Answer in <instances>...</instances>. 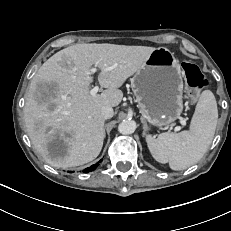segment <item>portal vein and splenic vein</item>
Masks as SVG:
<instances>
[{
  "mask_svg": "<svg viewBox=\"0 0 231 231\" xmlns=\"http://www.w3.org/2000/svg\"><path fill=\"white\" fill-rule=\"evenodd\" d=\"M111 69H112L111 67H107L103 71H110ZM91 71L92 72H96L97 69L96 68H92ZM98 91H99V86H95L93 89L90 90V94L91 95H95V94H97ZM185 123H186L185 120L181 121L182 125H185ZM177 130H180V128H177Z\"/></svg>",
  "mask_w": 231,
  "mask_h": 231,
  "instance_id": "obj_1",
  "label": "portal vein and splenic vein"
}]
</instances>
